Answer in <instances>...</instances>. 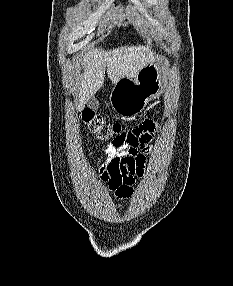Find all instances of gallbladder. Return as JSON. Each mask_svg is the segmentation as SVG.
<instances>
[{
	"label": "gallbladder",
	"mask_w": 233,
	"mask_h": 286,
	"mask_svg": "<svg viewBox=\"0 0 233 286\" xmlns=\"http://www.w3.org/2000/svg\"><path fill=\"white\" fill-rule=\"evenodd\" d=\"M86 105L90 108V109H97L99 107V102L98 100L93 96L90 97L86 100Z\"/></svg>",
	"instance_id": "1"
}]
</instances>
